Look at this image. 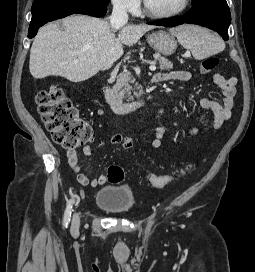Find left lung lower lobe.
Returning <instances> with one entry per match:
<instances>
[{
    "label": "left lung lower lobe",
    "instance_id": "obj_1",
    "mask_svg": "<svg viewBox=\"0 0 255 272\" xmlns=\"http://www.w3.org/2000/svg\"><path fill=\"white\" fill-rule=\"evenodd\" d=\"M231 15L226 0H198L184 16L149 22L148 24L173 27L183 23L198 24L217 31L225 41Z\"/></svg>",
    "mask_w": 255,
    "mask_h": 272
}]
</instances>
